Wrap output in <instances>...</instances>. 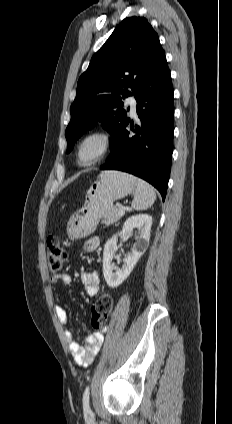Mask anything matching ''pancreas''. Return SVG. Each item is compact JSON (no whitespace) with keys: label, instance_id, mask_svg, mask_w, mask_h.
Returning <instances> with one entry per match:
<instances>
[{"label":"pancreas","instance_id":"1","mask_svg":"<svg viewBox=\"0 0 232 424\" xmlns=\"http://www.w3.org/2000/svg\"><path fill=\"white\" fill-rule=\"evenodd\" d=\"M119 208L116 206H113L109 210H107L103 216H102V223L106 226H109L121 218V216L118 214Z\"/></svg>","mask_w":232,"mask_h":424}]
</instances>
